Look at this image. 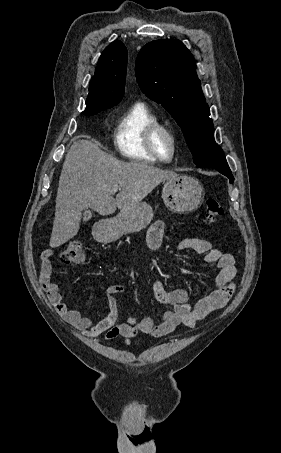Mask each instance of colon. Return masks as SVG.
<instances>
[{
	"mask_svg": "<svg viewBox=\"0 0 281 453\" xmlns=\"http://www.w3.org/2000/svg\"><path fill=\"white\" fill-rule=\"evenodd\" d=\"M205 223L208 225H219L225 220V212L218 197H207L204 200ZM88 253L84 249L82 241L78 238H71L66 242V248L61 254L63 262H86Z\"/></svg>",
	"mask_w": 281,
	"mask_h": 453,
	"instance_id": "1",
	"label": "colon"
}]
</instances>
